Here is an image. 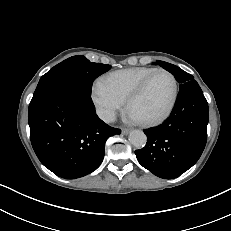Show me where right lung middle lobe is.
Listing matches in <instances>:
<instances>
[{"label":"right lung middle lobe","instance_id":"right-lung-middle-lobe-1","mask_svg":"<svg viewBox=\"0 0 231 231\" xmlns=\"http://www.w3.org/2000/svg\"><path fill=\"white\" fill-rule=\"evenodd\" d=\"M110 69V65L92 63L82 55L70 57L41 77L31 101H36L59 85L74 86L91 94L94 80Z\"/></svg>","mask_w":231,"mask_h":231}]
</instances>
